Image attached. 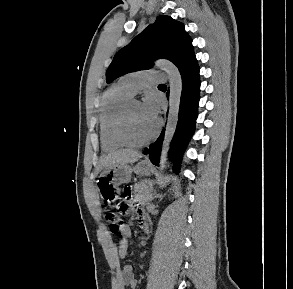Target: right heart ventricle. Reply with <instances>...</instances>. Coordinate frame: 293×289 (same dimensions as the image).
<instances>
[{"instance_id":"right-heart-ventricle-1","label":"right heart ventricle","mask_w":293,"mask_h":289,"mask_svg":"<svg viewBox=\"0 0 293 289\" xmlns=\"http://www.w3.org/2000/svg\"><path fill=\"white\" fill-rule=\"evenodd\" d=\"M132 94L119 82L103 96L99 115L100 140L104 151L111 152L123 147L117 135V125L125 104Z\"/></svg>"}]
</instances>
